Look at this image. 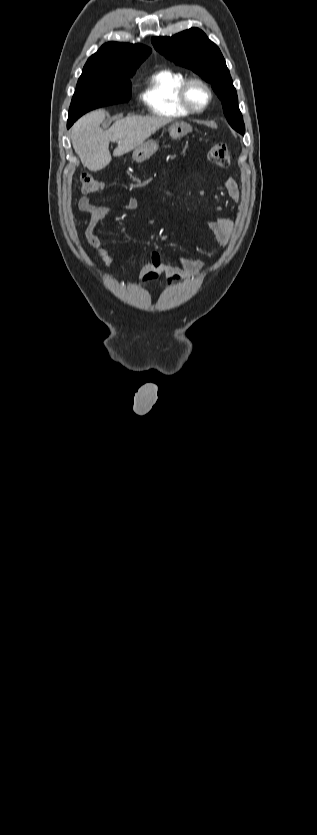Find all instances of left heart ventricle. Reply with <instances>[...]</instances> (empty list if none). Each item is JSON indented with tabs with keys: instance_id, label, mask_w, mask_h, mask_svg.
Returning <instances> with one entry per match:
<instances>
[{
	"instance_id": "obj_1",
	"label": "left heart ventricle",
	"mask_w": 317,
	"mask_h": 835,
	"mask_svg": "<svg viewBox=\"0 0 317 835\" xmlns=\"http://www.w3.org/2000/svg\"><path fill=\"white\" fill-rule=\"evenodd\" d=\"M207 97V92L201 85L194 84L190 87L189 98L194 106L200 107L204 105Z\"/></svg>"
}]
</instances>
